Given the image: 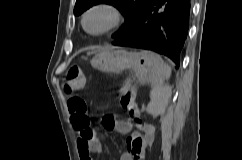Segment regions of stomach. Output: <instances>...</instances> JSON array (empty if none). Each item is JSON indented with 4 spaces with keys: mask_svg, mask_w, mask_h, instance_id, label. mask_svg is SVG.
Instances as JSON below:
<instances>
[{
    "mask_svg": "<svg viewBox=\"0 0 242 160\" xmlns=\"http://www.w3.org/2000/svg\"><path fill=\"white\" fill-rule=\"evenodd\" d=\"M151 53L148 51L104 50L92 59L91 65L93 68L110 73H120L132 68L141 82L148 83L153 76Z\"/></svg>",
    "mask_w": 242,
    "mask_h": 160,
    "instance_id": "obj_1",
    "label": "stomach"
}]
</instances>
